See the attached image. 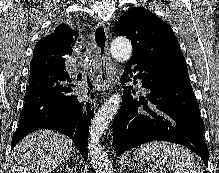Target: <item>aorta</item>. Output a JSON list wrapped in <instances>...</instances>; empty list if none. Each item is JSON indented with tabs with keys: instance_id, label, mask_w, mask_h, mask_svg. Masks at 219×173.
I'll use <instances>...</instances> for the list:
<instances>
[{
	"instance_id": "aorta-1",
	"label": "aorta",
	"mask_w": 219,
	"mask_h": 173,
	"mask_svg": "<svg viewBox=\"0 0 219 173\" xmlns=\"http://www.w3.org/2000/svg\"><path fill=\"white\" fill-rule=\"evenodd\" d=\"M111 55L117 62L131 58L132 45L125 37H117L110 47ZM122 102L120 94L111 95L95 114L89 128L88 154L96 173H113L111 160L100 144V138L117 114Z\"/></svg>"
}]
</instances>
